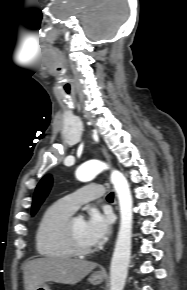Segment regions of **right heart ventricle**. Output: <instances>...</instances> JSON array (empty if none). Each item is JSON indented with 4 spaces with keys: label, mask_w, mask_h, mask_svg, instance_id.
<instances>
[{
    "label": "right heart ventricle",
    "mask_w": 187,
    "mask_h": 290,
    "mask_svg": "<svg viewBox=\"0 0 187 290\" xmlns=\"http://www.w3.org/2000/svg\"><path fill=\"white\" fill-rule=\"evenodd\" d=\"M62 200L48 206L42 214L35 234L37 252L48 259H67L74 256L68 247L63 226L65 221L73 214Z\"/></svg>",
    "instance_id": "e07e8e85"
}]
</instances>
